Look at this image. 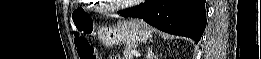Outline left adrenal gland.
Returning a JSON list of instances; mask_svg holds the SVG:
<instances>
[{"mask_svg":"<svg viewBox=\"0 0 261 59\" xmlns=\"http://www.w3.org/2000/svg\"><path fill=\"white\" fill-rule=\"evenodd\" d=\"M146 56H147L148 59L154 58V52L152 51V47L148 48Z\"/></svg>","mask_w":261,"mask_h":59,"instance_id":"1","label":"left adrenal gland"}]
</instances>
